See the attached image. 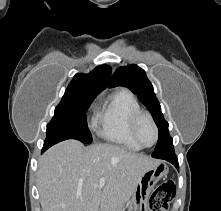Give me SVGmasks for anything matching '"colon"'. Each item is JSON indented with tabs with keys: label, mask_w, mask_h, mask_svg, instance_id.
I'll return each mask as SVG.
<instances>
[{
	"label": "colon",
	"mask_w": 221,
	"mask_h": 211,
	"mask_svg": "<svg viewBox=\"0 0 221 211\" xmlns=\"http://www.w3.org/2000/svg\"><path fill=\"white\" fill-rule=\"evenodd\" d=\"M175 196V185L172 181L161 183L149 198V211H167Z\"/></svg>",
	"instance_id": "1"
}]
</instances>
